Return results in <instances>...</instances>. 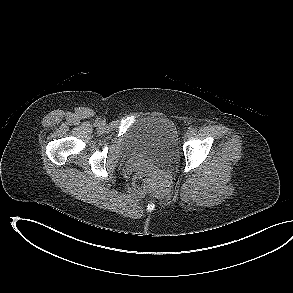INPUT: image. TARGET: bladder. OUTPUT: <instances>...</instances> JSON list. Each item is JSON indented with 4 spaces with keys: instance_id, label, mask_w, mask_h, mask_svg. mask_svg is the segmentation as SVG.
I'll list each match as a JSON object with an SVG mask.
<instances>
[{
    "instance_id": "bladder-1",
    "label": "bladder",
    "mask_w": 293,
    "mask_h": 293,
    "mask_svg": "<svg viewBox=\"0 0 293 293\" xmlns=\"http://www.w3.org/2000/svg\"><path fill=\"white\" fill-rule=\"evenodd\" d=\"M126 149L134 156L166 167L179 155V137L175 124L165 116L137 118L125 134Z\"/></svg>"
}]
</instances>
